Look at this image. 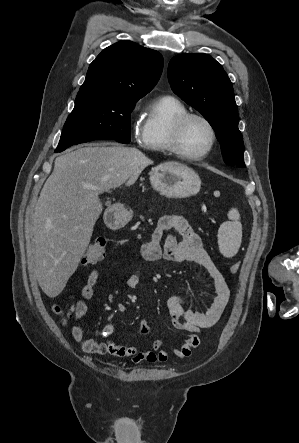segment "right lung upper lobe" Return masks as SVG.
Instances as JSON below:
<instances>
[{
    "label": "right lung upper lobe",
    "mask_w": 299,
    "mask_h": 443,
    "mask_svg": "<svg viewBox=\"0 0 299 443\" xmlns=\"http://www.w3.org/2000/svg\"><path fill=\"white\" fill-rule=\"evenodd\" d=\"M163 57L132 41L105 48L90 64L78 94L99 93L139 100L157 84Z\"/></svg>",
    "instance_id": "1"
}]
</instances>
